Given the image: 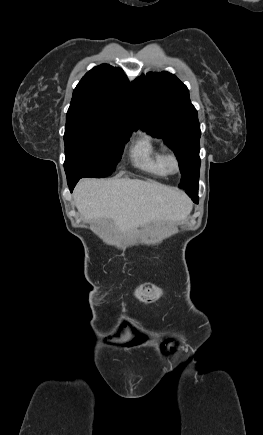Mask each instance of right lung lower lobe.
<instances>
[{"label":"right lung lower lobe","mask_w":263,"mask_h":435,"mask_svg":"<svg viewBox=\"0 0 263 435\" xmlns=\"http://www.w3.org/2000/svg\"><path fill=\"white\" fill-rule=\"evenodd\" d=\"M79 179H80V178H75V179H71V180H68V181H67V182H68L69 189H70L71 192L73 191V189H74L76 183L79 181Z\"/></svg>","instance_id":"right-lung-lower-lobe-1"}]
</instances>
